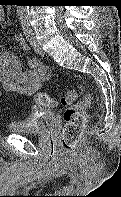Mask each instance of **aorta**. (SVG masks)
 Returning <instances> with one entry per match:
<instances>
[{"instance_id":"762f6f07","label":"aorta","mask_w":121,"mask_h":197,"mask_svg":"<svg viewBox=\"0 0 121 197\" xmlns=\"http://www.w3.org/2000/svg\"><path fill=\"white\" fill-rule=\"evenodd\" d=\"M17 14L19 19L27 20L29 16L28 6H17Z\"/></svg>"}]
</instances>
